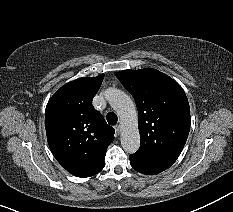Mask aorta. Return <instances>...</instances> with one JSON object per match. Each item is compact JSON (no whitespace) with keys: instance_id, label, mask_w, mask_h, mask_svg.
I'll return each mask as SVG.
<instances>
[{"instance_id":"1","label":"aorta","mask_w":233,"mask_h":212,"mask_svg":"<svg viewBox=\"0 0 233 212\" xmlns=\"http://www.w3.org/2000/svg\"><path fill=\"white\" fill-rule=\"evenodd\" d=\"M105 98L112 108L118 113L121 120V145L129 153H135L140 146L138 131V113L132 99L123 91L116 88H108Z\"/></svg>"}]
</instances>
